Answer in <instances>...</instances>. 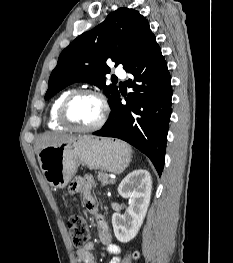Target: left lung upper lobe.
Instances as JSON below:
<instances>
[{"label":"left lung upper lobe","instance_id":"left-lung-upper-lobe-1","mask_svg":"<svg viewBox=\"0 0 233 263\" xmlns=\"http://www.w3.org/2000/svg\"><path fill=\"white\" fill-rule=\"evenodd\" d=\"M155 39L147 20L136 10L120 8L93 30L78 36L59 56L57 66L49 78L45 99L51 98L66 86L89 82L104 90L110 108L119 91L114 85H105L109 73L106 61L125 69Z\"/></svg>","mask_w":233,"mask_h":263}]
</instances>
